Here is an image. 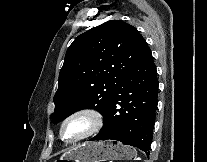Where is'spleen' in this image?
<instances>
[{
    "label": "spleen",
    "mask_w": 207,
    "mask_h": 162,
    "mask_svg": "<svg viewBox=\"0 0 207 162\" xmlns=\"http://www.w3.org/2000/svg\"><path fill=\"white\" fill-rule=\"evenodd\" d=\"M135 160H140V158H135Z\"/></svg>",
    "instance_id": "3e777b00"
}]
</instances>
